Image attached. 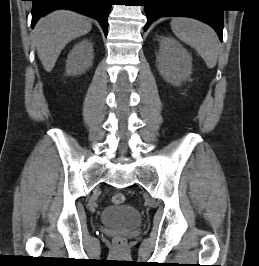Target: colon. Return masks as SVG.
Here are the masks:
<instances>
[{
  "instance_id": "5ec220e1",
  "label": "colon",
  "mask_w": 259,
  "mask_h": 266,
  "mask_svg": "<svg viewBox=\"0 0 259 266\" xmlns=\"http://www.w3.org/2000/svg\"><path fill=\"white\" fill-rule=\"evenodd\" d=\"M124 201H125V196H124L123 193L118 192V193H115V194L112 196V203H113L114 205H120V204H123ZM114 244H115V246H116L117 249L122 250V249H124V247H125L126 241H125V239L122 238V237H117V238H115V240H114Z\"/></svg>"
}]
</instances>
